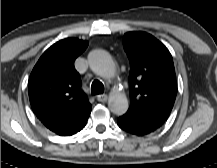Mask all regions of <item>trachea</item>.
<instances>
[{"mask_svg":"<svg viewBox=\"0 0 217 168\" xmlns=\"http://www.w3.org/2000/svg\"><path fill=\"white\" fill-rule=\"evenodd\" d=\"M93 95L102 94L104 92V85L99 80H94L91 85Z\"/></svg>","mask_w":217,"mask_h":168,"instance_id":"obj_1","label":"trachea"}]
</instances>
